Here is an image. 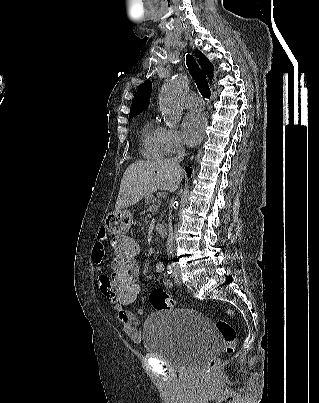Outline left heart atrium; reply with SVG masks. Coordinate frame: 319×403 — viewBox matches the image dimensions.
<instances>
[{
  "instance_id": "left-heart-atrium-1",
  "label": "left heart atrium",
  "mask_w": 319,
  "mask_h": 403,
  "mask_svg": "<svg viewBox=\"0 0 319 403\" xmlns=\"http://www.w3.org/2000/svg\"><path fill=\"white\" fill-rule=\"evenodd\" d=\"M206 120L203 115L190 113L182 121V135L188 145L198 143L205 132Z\"/></svg>"
}]
</instances>
